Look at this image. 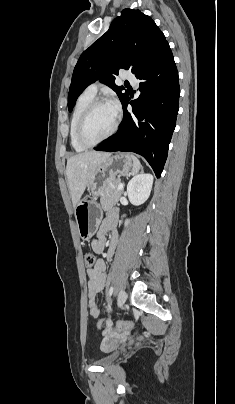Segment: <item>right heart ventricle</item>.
<instances>
[{
    "label": "right heart ventricle",
    "mask_w": 235,
    "mask_h": 404,
    "mask_svg": "<svg viewBox=\"0 0 235 404\" xmlns=\"http://www.w3.org/2000/svg\"><path fill=\"white\" fill-rule=\"evenodd\" d=\"M93 94H90L86 91H84L77 99L74 109L71 114L70 118V124H69V137H70V142L72 147L78 151H84L88 147L82 145L76 135V130H77V124L80 119V116L82 115L83 111L86 109V107L94 100Z\"/></svg>",
    "instance_id": "1"
}]
</instances>
